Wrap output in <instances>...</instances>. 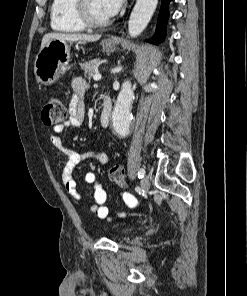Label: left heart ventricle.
<instances>
[{"mask_svg": "<svg viewBox=\"0 0 247 296\" xmlns=\"http://www.w3.org/2000/svg\"><path fill=\"white\" fill-rule=\"evenodd\" d=\"M87 9L89 16L95 21H103L108 19L102 10L100 0H88Z\"/></svg>", "mask_w": 247, "mask_h": 296, "instance_id": "obj_1", "label": "left heart ventricle"}]
</instances>
